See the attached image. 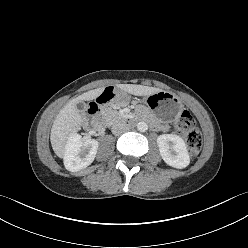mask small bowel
I'll list each match as a JSON object with an SVG mask.
<instances>
[{
    "instance_id": "1",
    "label": "small bowel",
    "mask_w": 248,
    "mask_h": 248,
    "mask_svg": "<svg viewBox=\"0 0 248 248\" xmlns=\"http://www.w3.org/2000/svg\"><path fill=\"white\" fill-rule=\"evenodd\" d=\"M156 129H159V130H162V131H166L167 130V126L158 124V128H156Z\"/></svg>"
}]
</instances>
